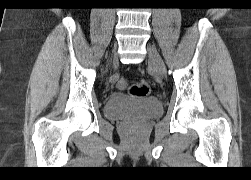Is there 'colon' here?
I'll return each mask as SVG.
<instances>
[{"label":"colon","instance_id":"colon-1","mask_svg":"<svg viewBox=\"0 0 251 180\" xmlns=\"http://www.w3.org/2000/svg\"><path fill=\"white\" fill-rule=\"evenodd\" d=\"M130 92L138 97L148 96L151 92V84L145 80L135 82L131 85Z\"/></svg>","mask_w":251,"mask_h":180}]
</instances>
